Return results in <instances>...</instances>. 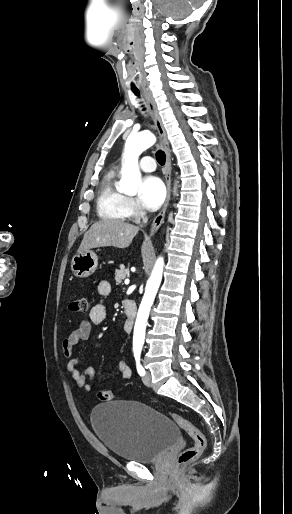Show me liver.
<instances>
[{"label":"liver","mask_w":292,"mask_h":514,"mask_svg":"<svg viewBox=\"0 0 292 514\" xmlns=\"http://www.w3.org/2000/svg\"><path fill=\"white\" fill-rule=\"evenodd\" d=\"M138 230V226L126 224L121 220H100L84 234L78 252H87L91 248H103V246L128 248L134 236L138 234Z\"/></svg>","instance_id":"6515ba94"}]
</instances>
